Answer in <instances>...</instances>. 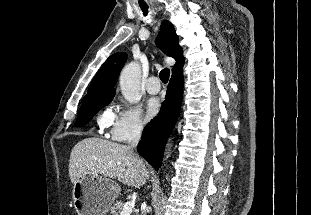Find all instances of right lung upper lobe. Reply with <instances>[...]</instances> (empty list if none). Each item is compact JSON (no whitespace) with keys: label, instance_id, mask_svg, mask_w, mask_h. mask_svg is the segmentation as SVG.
Instances as JSON below:
<instances>
[{"label":"right lung upper lobe","instance_id":"right-lung-upper-lobe-1","mask_svg":"<svg viewBox=\"0 0 311 215\" xmlns=\"http://www.w3.org/2000/svg\"><path fill=\"white\" fill-rule=\"evenodd\" d=\"M157 45L165 54L177 61L172 69V74L181 70L184 63L183 51L179 46V38L173 25L167 20L161 23ZM126 59L127 55L125 53L111 55L97 72L82 102L104 96L113 97L115 95L114 85Z\"/></svg>","mask_w":311,"mask_h":215}]
</instances>
